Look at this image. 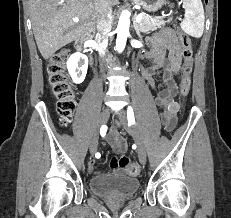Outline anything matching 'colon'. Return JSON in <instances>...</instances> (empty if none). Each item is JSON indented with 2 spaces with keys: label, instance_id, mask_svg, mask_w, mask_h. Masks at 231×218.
<instances>
[{
  "label": "colon",
  "instance_id": "5ec220e1",
  "mask_svg": "<svg viewBox=\"0 0 231 218\" xmlns=\"http://www.w3.org/2000/svg\"><path fill=\"white\" fill-rule=\"evenodd\" d=\"M178 39L182 48L183 56L186 60L192 57V44L189 36L181 29L178 30ZM68 55L67 49H62L53 54L46 63V73L51 92L57 100V112L64 125H66L72 117L76 101L75 89L70 82L66 68L65 61ZM190 72L191 67L188 66L186 74L180 83V92L183 97L188 96L190 92ZM120 165L126 170L130 176H137L141 172L138 163L130 162L127 158L120 160Z\"/></svg>",
  "mask_w": 231,
  "mask_h": 218
}]
</instances>
